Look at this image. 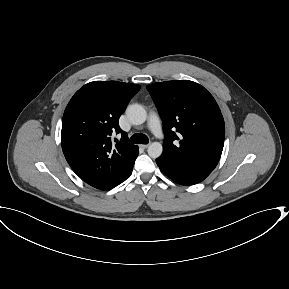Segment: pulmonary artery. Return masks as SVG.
<instances>
[{
	"label": "pulmonary artery",
	"mask_w": 289,
	"mask_h": 289,
	"mask_svg": "<svg viewBox=\"0 0 289 289\" xmlns=\"http://www.w3.org/2000/svg\"><path fill=\"white\" fill-rule=\"evenodd\" d=\"M149 130L158 138L163 137V131L159 116L155 112H151L148 118Z\"/></svg>",
	"instance_id": "pulmonary-artery-1"
}]
</instances>
